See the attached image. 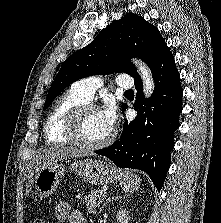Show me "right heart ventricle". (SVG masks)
<instances>
[{
    "mask_svg": "<svg viewBox=\"0 0 221 223\" xmlns=\"http://www.w3.org/2000/svg\"><path fill=\"white\" fill-rule=\"evenodd\" d=\"M87 103L72 89L63 93L53 105L44 123V138L48 143H68L64 134V125L68 113L80 104Z\"/></svg>",
    "mask_w": 221,
    "mask_h": 223,
    "instance_id": "right-heart-ventricle-1",
    "label": "right heart ventricle"
}]
</instances>
